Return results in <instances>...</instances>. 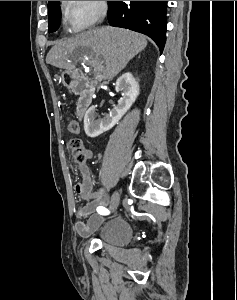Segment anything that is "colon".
Masks as SVG:
<instances>
[{"mask_svg": "<svg viewBox=\"0 0 237 300\" xmlns=\"http://www.w3.org/2000/svg\"><path fill=\"white\" fill-rule=\"evenodd\" d=\"M67 148L70 149L78 162L85 160V152L82 142L77 138H71L67 141Z\"/></svg>", "mask_w": 237, "mask_h": 300, "instance_id": "colon-1", "label": "colon"}]
</instances>
